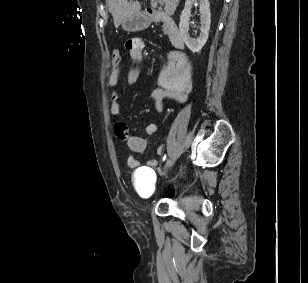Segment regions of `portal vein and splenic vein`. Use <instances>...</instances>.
<instances>
[{
    "mask_svg": "<svg viewBox=\"0 0 308 283\" xmlns=\"http://www.w3.org/2000/svg\"><path fill=\"white\" fill-rule=\"evenodd\" d=\"M152 1H153V0H152ZM161 2H162L161 0L158 1V3H161Z\"/></svg>",
    "mask_w": 308,
    "mask_h": 283,
    "instance_id": "portal-vein-and-splenic-vein-1",
    "label": "portal vein and splenic vein"
}]
</instances>
